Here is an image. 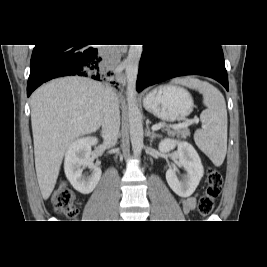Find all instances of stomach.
Segmentation results:
<instances>
[{
  "label": "stomach",
  "mask_w": 267,
  "mask_h": 267,
  "mask_svg": "<svg viewBox=\"0 0 267 267\" xmlns=\"http://www.w3.org/2000/svg\"><path fill=\"white\" fill-rule=\"evenodd\" d=\"M143 106L157 118L173 122L190 115L194 105L187 90L166 85L148 93L143 99Z\"/></svg>",
  "instance_id": "stomach-1"
}]
</instances>
